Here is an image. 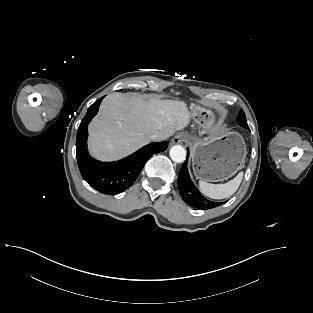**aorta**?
<instances>
[{
  "instance_id": "obj_1",
  "label": "aorta",
  "mask_w": 313,
  "mask_h": 313,
  "mask_svg": "<svg viewBox=\"0 0 313 313\" xmlns=\"http://www.w3.org/2000/svg\"><path fill=\"white\" fill-rule=\"evenodd\" d=\"M170 157L176 163H182L186 159V150L181 145H174L170 149Z\"/></svg>"
}]
</instances>
